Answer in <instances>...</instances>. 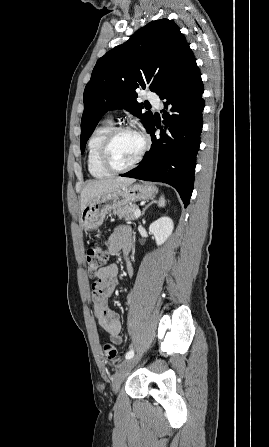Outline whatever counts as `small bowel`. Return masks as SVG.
I'll list each match as a JSON object with an SVG mask.
<instances>
[{
    "label": "small bowel",
    "mask_w": 269,
    "mask_h": 447,
    "mask_svg": "<svg viewBox=\"0 0 269 447\" xmlns=\"http://www.w3.org/2000/svg\"><path fill=\"white\" fill-rule=\"evenodd\" d=\"M130 246V230L125 226L117 227L110 239V252L116 254L122 249L127 253ZM117 273L118 267L116 264H110L97 273L92 286L91 300L98 324L110 335L114 344L121 345L123 342L120 334L122 328L121 317L109 306V299L117 285Z\"/></svg>",
    "instance_id": "1"
}]
</instances>
